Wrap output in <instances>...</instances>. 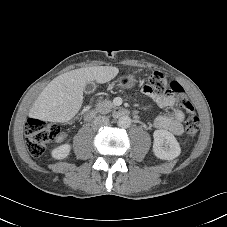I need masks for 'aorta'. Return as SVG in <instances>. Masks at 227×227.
<instances>
[{
  "label": "aorta",
  "instance_id": "1",
  "mask_svg": "<svg viewBox=\"0 0 227 227\" xmlns=\"http://www.w3.org/2000/svg\"><path fill=\"white\" fill-rule=\"evenodd\" d=\"M131 123H132V120L127 115L121 116L118 119V126L121 128H128L130 127Z\"/></svg>",
  "mask_w": 227,
  "mask_h": 227
}]
</instances>
